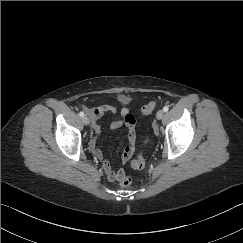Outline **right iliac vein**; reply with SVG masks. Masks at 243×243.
Wrapping results in <instances>:
<instances>
[{
  "mask_svg": "<svg viewBox=\"0 0 243 243\" xmlns=\"http://www.w3.org/2000/svg\"><path fill=\"white\" fill-rule=\"evenodd\" d=\"M83 123L85 125H89L90 124V119L87 117V116H84L83 119H82Z\"/></svg>",
  "mask_w": 243,
  "mask_h": 243,
  "instance_id": "63e3f726",
  "label": "right iliac vein"
}]
</instances>
